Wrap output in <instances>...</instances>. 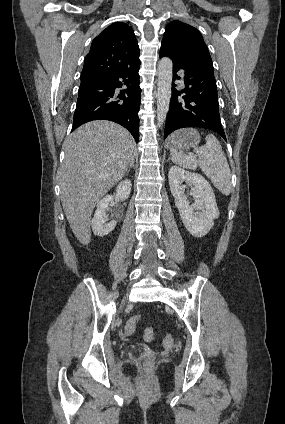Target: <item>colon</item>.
Instances as JSON below:
<instances>
[{
  "label": "colon",
  "instance_id": "5ec220e1",
  "mask_svg": "<svg viewBox=\"0 0 285 424\" xmlns=\"http://www.w3.org/2000/svg\"><path fill=\"white\" fill-rule=\"evenodd\" d=\"M139 320H140V316L139 315H135V316L131 317L128 320V322L126 323V325H125V329H124L125 334H127V335L133 334L134 331H135V329H136V326H137V323L139 322ZM143 337H144V339L146 341L152 340L153 337H154V330H153V328H147L144 331ZM173 341H174V338L170 334H167L164 337V344L165 345H171L173 343ZM146 360H147L148 363H151L152 360H153V355L151 353H147Z\"/></svg>",
  "mask_w": 285,
  "mask_h": 424
}]
</instances>
